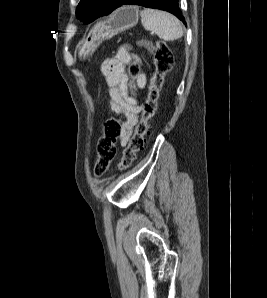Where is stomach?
<instances>
[{
	"label": "stomach",
	"mask_w": 267,
	"mask_h": 298,
	"mask_svg": "<svg viewBox=\"0 0 267 298\" xmlns=\"http://www.w3.org/2000/svg\"><path fill=\"white\" fill-rule=\"evenodd\" d=\"M138 19L139 10L136 6L127 5L116 9L92 29L90 35L79 46V57L85 59L91 56L100 43L131 29L138 23Z\"/></svg>",
	"instance_id": "0dacf381"
}]
</instances>
